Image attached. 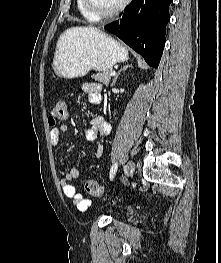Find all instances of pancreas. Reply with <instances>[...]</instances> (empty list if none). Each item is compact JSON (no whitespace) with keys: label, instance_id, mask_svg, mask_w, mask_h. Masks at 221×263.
Listing matches in <instances>:
<instances>
[{"label":"pancreas","instance_id":"pancreas-1","mask_svg":"<svg viewBox=\"0 0 221 263\" xmlns=\"http://www.w3.org/2000/svg\"><path fill=\"white\" fill-rule=\"evenodd\" d=\"M111 72H112V70H107V71H103L100 73L93 74L91 77L95 81H99V82L103 83L104 85L108 86L110 83V80H111V76H110Z\"/></svg>","mask_w":221,"mask_h":263}]
</instances>
